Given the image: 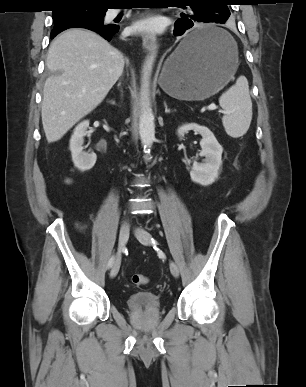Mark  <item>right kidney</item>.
I'll return each instance as SVG.
<instances>
[{
  "mask_svg": "<svg viewBox=\"0 0 306 387\" xmlns=\"http://www.w3.org/2000/svg\"><path fill=\"white\" fill-rule=\"evenodd\" d=\"M89 121H83L76 126L70 139V151L74 166L84 172L90 170L96 163L97 156L94 152L83 151L84 136L86 135Z\"/></svg>",
  "mask_w": 306,
  "mask_h": 387,
  "instance_id": "1",
  "label": "right kidney"
}]
</instances>
